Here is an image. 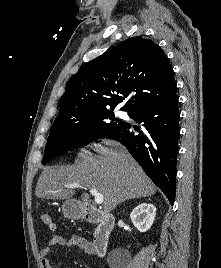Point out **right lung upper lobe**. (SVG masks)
<instances>
[{"mask_svg":"<svg viewBox=\"0 0 221 268\" xmlns=\"http://www.w3.org/2000/svg\"><path fill=\"white\" fill-rule=\"evenodd\" d=\"M176 95L173 69L159 45L133 37L84 64L67 83L56 119L121 107L129 116L136 110Z\"/></svg>","mask_w":221,"mask_h":268,"instance_id":"obj_1","label":"right lung upper lobe"}]
</instances>
